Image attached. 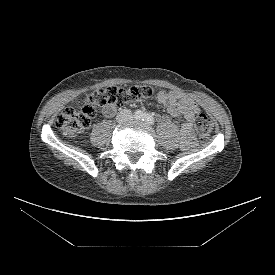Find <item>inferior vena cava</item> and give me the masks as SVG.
I'll return each instance as SVG.
<instances>
[{
	"label": "inferior vena cava",
	"mask_w": 275,
	"mask_h": 275,
	"mask_svg": "<svg viewBox=\"0 0 275 275\" xmlns=\"http://www.w3.org/2000/svg\"><path fill=\"white\" fill-rule=\"evenodd\" d=\"M117 121L118 122H128L133 119L132 113L129 109L122 110L118 115H117Z\"/></svg>",
	"instance_id": "1"
}]
</instances>
